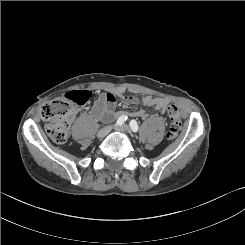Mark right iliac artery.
Segmentation results:
<instances>
[{
  "mask_svg": "<svg viewBox=\"0 0 245 245\" xmlns=\"http://www.w3.org/2000/svg\"><path fill=\"white\" fill-rule=\"evenodd\" d=\"M127 120V115H121L118 120L116 121V124L115 125H122L124 124V122Z\"/></svg>",
  "mask_w": 245,
  "mask_h": 245,
  "instance_id": "obj_1",
  "label": "right iliac artery"
}]
</instances>
